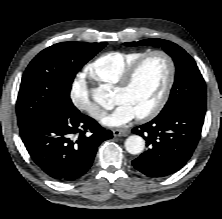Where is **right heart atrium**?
I'll list each match as a JSON object with an SVG mask.
<instances>
[{"mask_svg":"<svg viewBox=\"0 0 222 219\" xmlns=\"http://www.w3.org/2000/svg\"><path fill=\"white\" fill-rule=\"evenodd\" d=\"M69 98L75 108L84 112L93 119L99 120L103 117V110L91 99L86 79L82 75L73 78Z\"/></svg>","mask_w":222,"mask_h":219,"instance_id":"1","label":"right heart atrium"}]
</instances>
